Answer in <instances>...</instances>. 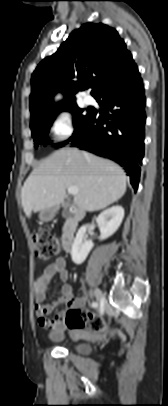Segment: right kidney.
I'll return each instance as SVG.
<instances>
[{"label": "right kidney", "instance_id": "right-kidney-1", "mask_svg": "<svg viewBox=\"0 0 168 406\" xmlns=\"http://www.w3.org/2000/svg\"><path fill=\"white\" fill-rule=\"evenodd\" d=\"M123 218L124 209L122 206H113L103 211L96 219L101 233L100 240L107 239L113 235L121 225ZM86 231L87 227L82 226L74 239L71 258L75 264H82L94 246L92 241L87 240Z\"/></svg>", "mask_w": 168, "mask_h": 406}]
</instances>
